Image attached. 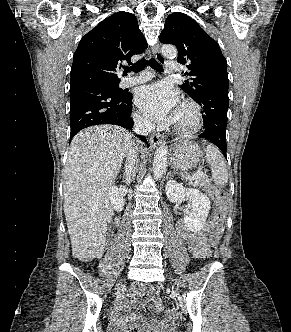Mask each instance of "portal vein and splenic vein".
<instances>
[{
    "label": "portal vein and splenic vein",
    "instance_id": "1",
    "mask_svg": "<svg viewBox=\"0 0 291 332\" xmlns=\"http://www.w3.org/2000/svg\"><path fill=\"white\" fill-rule=\"evenodd\" d=\"M203 175V171L201 168L198 169V171L196 173H194L190 178L189 181L192 182L193 180H195L196 178L200 177Z\"/></svg>",
    "mask_w": 291,
    "mask_h": 332
}]
</instances>
